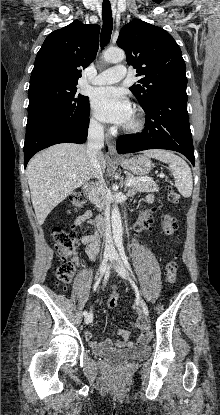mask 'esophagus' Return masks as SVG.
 <instances>
[{
    "mask_svg": "<svg viewBox=\"0 0 220 415\" xmlns=\"http://www.w3.org/2000/svg\"><path fill=\"white\" fill-rule=\"evenodd\" d=\"M105 138L108 144L109 152L111 154H115L116 148H115V141H114L113 136L110 133H106Z\"/></svg>",
    "mask_w": 220,
    "mask_h": 415,
    "instance_id": "1",
    "label": "esophagus"
}]
</instances>
